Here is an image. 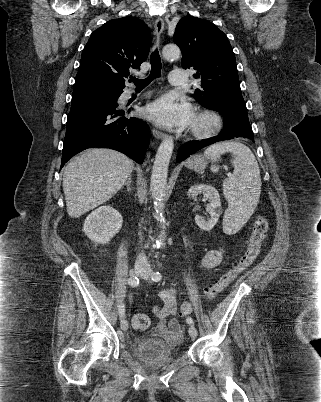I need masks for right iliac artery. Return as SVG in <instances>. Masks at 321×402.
<instances>
[{"label":"right iliac artery","mask_w":321,"mask_h":402,"mask_svg":"<svg viewBox=\"0 0 321 402\" xmlns=\"http://www.w3.org/2000/svg\"><path fill=\"white\" fill-rule=\"evenodd\" d=\"M128 284L132 287H136L139 284V279L137 277H131L128 279ZM120 319H123L125 316V306L123 303H120L118 306Z\"/></svg>","instance_id":"right-iliac-artery-1"}]
</instances>
